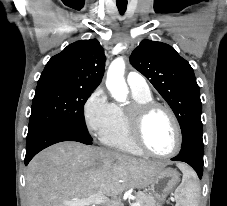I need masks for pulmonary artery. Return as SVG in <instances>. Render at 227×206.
<instances>
[{
	"label": "pulmonary artery",
	"mask_w": 227,
	"mask_h": 206,
	"mask_svg": "<svg viewBox=\"0 0 227 206\" xmlns=\"http://www.w3.org/2000/svg\"><path fill=\"white\" fill-rule=\"evenodd\" d=\"M127 84L134 92L147 93L150 91L145 78L138 72L131 71L126 76Z\"/></svg>",
	"instance_id": "1"
}]
</instances>
